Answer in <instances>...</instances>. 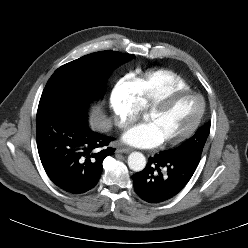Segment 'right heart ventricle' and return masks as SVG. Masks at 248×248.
Returning a JSON list of instances; mask_svg holds the SVG:
<instances>
[{"label":"right heart ventricle","mask_w":248,"mask_h":248,"mask_svg":"<svg viewBox=\"0 0 248 248\" xmlns=\"http://www.w3.org/2000/svg\"><path fill=\"white\" fill-rule=\"evenodd\" d=\"M125 82L142 109L170 91L191 90L182 77L169 70L152 71L141 76L132 75Z\"/></svg>","instance_id":"1"}]
</instances>
